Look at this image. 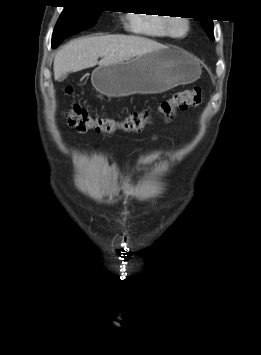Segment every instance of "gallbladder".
<instances>
[{"label":"gallbladder","mask_w":261,"mask_h":355,"mask_svg":"<svg viewBox=\"0 0 261 355\" xmlns=\"http://www.w3.org/2000/svg\"><path fill=\"white\" fill-rule=\"evenodd\" d=\"M66 77H67V75H66V74H63V75L58 79V81H59V82H62Z\"/></svg>","instance_id":"obj_1"}]
</instances>
